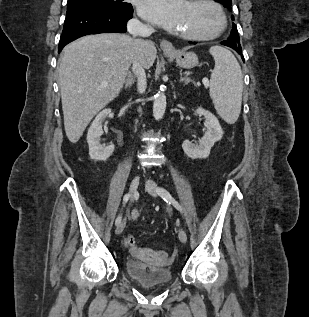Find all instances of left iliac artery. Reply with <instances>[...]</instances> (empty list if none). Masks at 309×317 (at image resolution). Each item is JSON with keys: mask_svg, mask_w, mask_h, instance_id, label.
Returning a JSON list of instances; mask_svg holds the SVG:
<instances>
[{"mask_svg": "<svg viewBox=\"0 0 309 317\" xmlns=\"http://www.w3.org/2000/svg\"><path fill=\"white\" fill-rule=\"evenodd\" d=\"M157 193L158 195H160V197L169 204H172L178 211H180L181 213H183V209L181 207V205L178 203V201H176L172 195L164 188L159 187L157 189Z\"/></svg>", "mask_w": 309, "mask_h": 317, "instance_id": "left-iliac-artery-1", "label": "left iliac artery"}]
</instances>
